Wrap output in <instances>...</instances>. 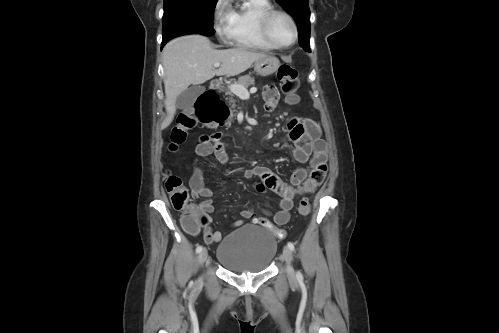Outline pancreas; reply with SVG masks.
Masks as SVG:
<instances>
[{
  "mask_svg": "<svg viewBox=\"0 0 499 333\" xmlns=\"http://www.w3.org/2000/svg\"><path fill=\"white\" fill-rule=\"evenodd\" d=\"M236 84H239V85H242L244 87H248V86H251V85H254L255 84V80L253 77H251L250 75H244V76H241L237 83ZM225 94L227 96H229V98H227L228 100V103L231 107V116H233V112L235 111L234 108H235V100L233 99V93L229 90V89H225Z\"/></svg>",
  "mask_w": 499,
  "mask_h": 333,
  "instance_id": "cf45deb5",
  "label": "pancreas"
}]
</instances>
